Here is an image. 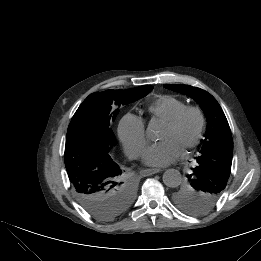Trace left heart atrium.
I'll list each match as a JSON object with an SVG mask.
<instances>
[{
    "label": "left heart atrium",
    "instance_id": "left-heart-atrium-1",
    "mask_svg": "<svg viewBox=\"0 0 261 261\" xmlns=\"http://www.w3.org/2000/svg\"><path fill=\"white\" fill-rule=\"evenodd\" d=\"M181 146L172 138H167L150 145L143 156L144 162L153 167L171 164L181 155Z\"/></svg>",
    "mask_w": 261,
    "mask_h": 261
}]
</instances>
